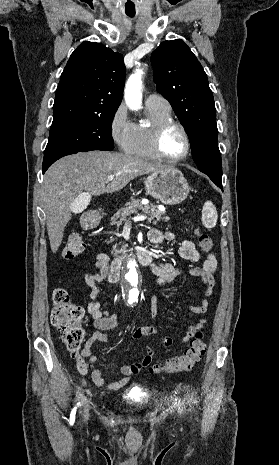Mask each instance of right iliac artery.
<instances>
[{
  "label": "right iliac artery",
  "mask_w": 279,
  "mask_h": 465,
  "mask_svg": "<svg viewBox=\"0 0 279 465\" xmlns=\"http://www.w3.org/2000/svg\"><path fill=\"white\" fill-rule=\"evenodd\" d=\"M77 405H79V403H78ZM76 409H77V408L75 407V408L72 410V412H71V417H72V418L75 417Z\"/></svg>",
  "instance_id": "1"
}]
</instances>
